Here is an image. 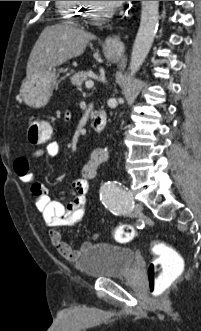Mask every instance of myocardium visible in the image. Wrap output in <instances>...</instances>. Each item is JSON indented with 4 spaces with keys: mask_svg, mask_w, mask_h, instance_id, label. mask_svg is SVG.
Here are the masks:
<instances>
[{
    "mask_svg": "<svg viewBox=\"0 0 201 331\" xmlns=\"http://www.w3.org/2000/svg\"><path fill=\"white\" fill-rule=\"evenodd\" d=\"M97 8L98 7L95 1H87V8L85 9L84 18L92 24L103 23L113 15V10L111 8L102 10L100 13H95Z\"/></svg>",
    "mask_w": 201,
    "mask_h": 331,
    "instance_id": "1",
    "label": "myocardium"
}]
</instances>
